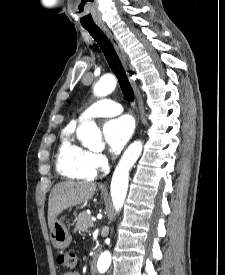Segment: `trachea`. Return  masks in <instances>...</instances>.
I'll use <instances>...</instances> for the list:
<instances>
[{
	"instance_id": "obj_1",
	"label": "trachea",
	"mask_w": 225,
	"mask_h": 275,
	"mask_svg": "<svg viewBox=\"0 0 225 275\" xmlns=\"http://www.w3.org/2000/svg\"><path fill=\"white\" fill-rule=\"evenodd\" d=\"M85 29L97 41L100 48L102 49L110 68L118 79L125 98L128 101H133L134 92L112 43L98 27H85Z\"/></svg>"
}]
</instances>
